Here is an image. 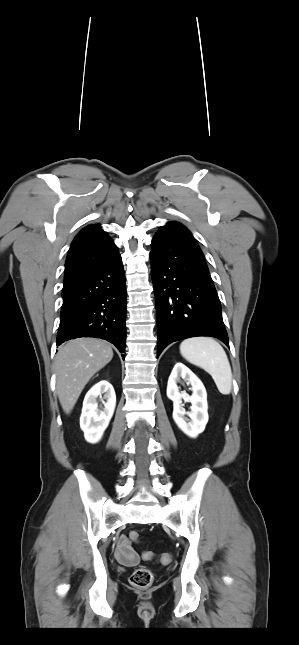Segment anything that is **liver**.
Masks as SVG:
<instances>
[{
	"label": "liver",
	"mask_w": 299,
	"mask_h": 645,
	"mask_svg": "<svg viewBox=\"0 0 299 645\" xmlns=\"http://www.w3.org/2000/svg\"><path fill=\"white\" fill-rule=\"evenodd\" d=\"M113 358L111 346L95 338H77L58 349L55 358L56 390L62 409L69 414L92 376Z\"/></svg>",
	"instance_id": "obj_1"
}]
</instances>
